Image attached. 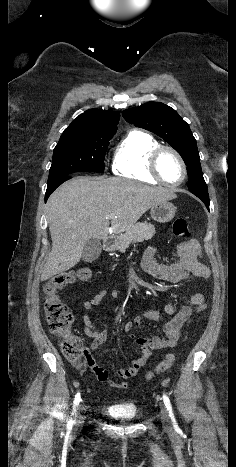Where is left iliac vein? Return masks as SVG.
<instances>
[{"label":"left iliac vein","mask_w":236,"mask_h":467,"mask_svg":"<svg viewBox=\"0 0 236 467\" xmlns=\"http://www.w3.org/2000/svg\"><path fill=\"white\" fill-rule=\"evenodd\" d=\"M161 419L164 425L170 426L169 414L165 406L161 405Z\"/></svg>","instance_id":"obj_1"}]
</instances>
